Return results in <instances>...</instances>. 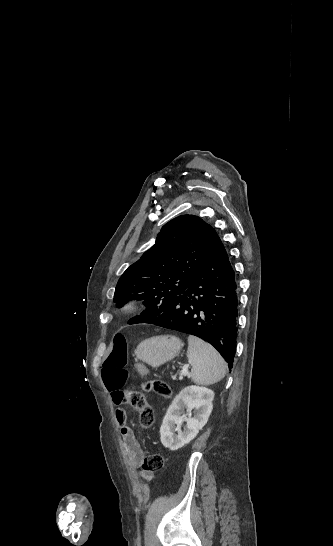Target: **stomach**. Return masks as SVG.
Segmentation results:
<instances>
[{
	"mask_svg": "<svg viewBox=\"0 0 333 546\" xmlns=\"http://www.w3.org/2000/svg\"><path fill=\"white\" fill-rule=\"evenodd\" d=\"M182 346V341L176 336H155L142 341L135 349V355L137 359L157 368L173 359Z\"/></svg>",
	"mask_w": 333,
	"mask_h": 546,
	"instance_id": "obj_1",
	"label": "stomach"
}]
</instances>
